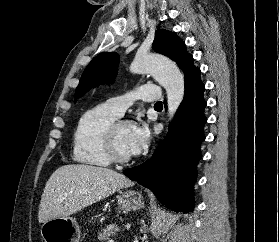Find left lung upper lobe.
I'll return each instance as SVG.
<instances>
[{"label":"left lung upper lobe","instance_id":"5c2ea615","mask_svg":"<svg viewBox=\"0 0 279 242\" xmlns=\"http://www.w3.org/2000/svg\"><path fill=\"white\" fill-rule=\"evenodd\" d=\"M153 50L174 60L181 68L190 54L185 43L175 33L157 30L153 41ZM119 63V55L110 52L96 56L84 70L75 97L82 96L91 87L104 82H113ZM76 101V100H75Z\"/></svg>","mask_w":279,"mask_h":242}]
</instances>
